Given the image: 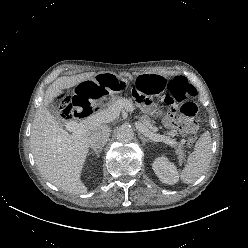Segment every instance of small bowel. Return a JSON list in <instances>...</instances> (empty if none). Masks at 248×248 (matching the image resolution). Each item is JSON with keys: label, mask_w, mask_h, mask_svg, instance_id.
<instances>
[{"label": "small bowel", "mask_w": 248, "mask_h": 248, "mask_svg": "<svg viewBox=\"0 0 248 248\" xmlns=\"http://www.w3.org/2000/svg\"><path fill=\"white\" fill-rule=\"evenodd\" d=\"M167 124L171 127H176L177 129H179L183 134H186L188 130H190L192 128V126L190 124H186V123H181V121L174 119V118H170L167 120Z\"/></svg>", "instance_id": "1"}]
</instances>
